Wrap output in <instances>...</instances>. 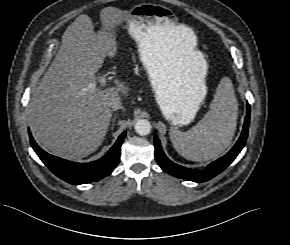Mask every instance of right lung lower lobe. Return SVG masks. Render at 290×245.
Masks as SVG:
<instances>
[{"label":"right lung lower lobe","mask_w":290,"mask_h":245,"mask_svg":"<svg viewBox=\"0 0 290 245\" xmlns=\"http://www.w3.org/2000/svg\"><path fill=\"white\" fill-rule=\"evenodd\" d=\"M125 134L124 131L104 157L90 163H76L50 155L37 145L31 134L30 142L42 162L56 176L68 183L78 185L95 182L111 174L120 159V149Z\"/></svg>","instance_id":"right-lung-lower-lobe-1"}]
</instances>
